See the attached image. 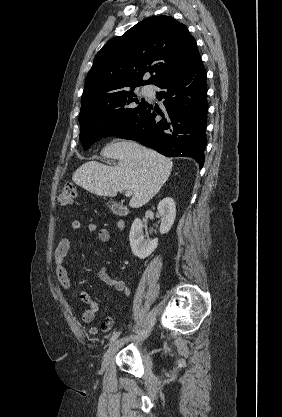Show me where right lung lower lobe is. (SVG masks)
<instances>
[{
	"mask_svg": "<svg viewBox=\"0 0 282 417\" xmlns=\"http://www.w3.org/2000/svg\"><path fill=\"white\" fill-rule=\"evenodd\" d=\"M157 86L164 89L156 96L165 99L166 118H156L160 110L148 104L130 127L114 136L138 141L168 157H192L202 168L208 111L202 61L177 71Z\"/></svg>",
	"mask_w": 282,
	"mask_h": 417,
	"instance_id": "right-lung-lower-lobe-1",
	"label": "right lung lower lobe"
}]
</instances>
